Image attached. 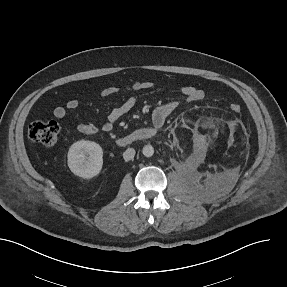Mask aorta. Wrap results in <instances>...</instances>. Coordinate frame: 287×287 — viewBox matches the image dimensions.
Masks as SVG:
<instances>
[{
	"instance_id": "762f6f07",
	"label": "aorta",
	"mask_w": 287,
	"mask_h": 287,
	"mask_svg": "<svg viewBox=\"0 0 287 287\" xmlns=\"http://www.w3.org/2000/svg\"><path fill=\"white\" fill-rule=\"evenodd\" d=\"M142 153L146 157H151L154 154V148L151 145H146L143 147Z\"/></svg>"
}]
</instances>
